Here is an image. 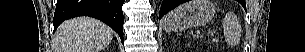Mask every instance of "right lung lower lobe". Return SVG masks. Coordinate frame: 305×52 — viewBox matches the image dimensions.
<instances>
[{"instance_id": "right-lung-lower-lobe-1", "label": "right lung lower lobe", "mask_w": 305, "mask_h": 52, "mask_svg": "<svg viewBox=\"0 0 305 52\" xmlns=\"http://www.w3.org/2000/svg\"><path fill=\"white\" fill-rule=\"evenodd\" d=\"M125 0H58L54 14V31L66 19L90 16L115 30L123 43V12Z\"/></svg>"}]
</instances>
